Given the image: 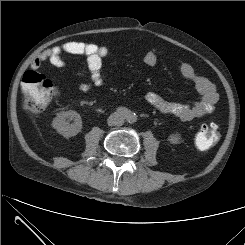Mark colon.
I'll return each instance as SVG.
<instances>
[{"mask_svg": "<svg viewBox=\"0 0 245 245\" xmlns=\"http://www.w3.org/2000/svg\"><path fill=\"white\" fill-rule=\"evenodd\" d=\"M24 94V105L27 110L38 112L43 110L58 95L55 84L45 75L35 70L25 72L21 82ZM220 132L216 125H204L195 138L201 150L211 148L219 140Z\"/></svg>", "mask_w": 245, "mask_h": 245, "instance_id": "obj_1", "label": "colon"}]
</instances>
